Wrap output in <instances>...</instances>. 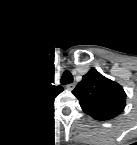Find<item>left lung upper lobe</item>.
I'll return each instance as SVG.
<instances>
[{
    "label": "left lung upper lobe",
    "mask_w": 137,
    "mask_h": 145,
    "mask_svg": "<svg viewBox=\"0 0 137 145\" xmlns=\"http://www.w3.org/2000/svg\"><path fill=\"white\" fill-rule=\"evenodd\" d=\"M73 94L78 98L82 109L98 120L112 119L125 107L126 94L122 86L95 69L83 76Z\"/></svg>",
    "instance_id": "1"
}]
</instances>
